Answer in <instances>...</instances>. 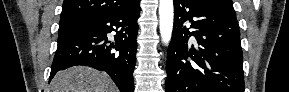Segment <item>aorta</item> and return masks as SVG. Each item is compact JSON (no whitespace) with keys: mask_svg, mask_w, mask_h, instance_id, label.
Masks as SVG:
<instances>
[{"mask_svg":"<svg viewBox=\"0 0 289 92\" xmlns=\"http://www.w3.org/2000/svg\"><path fill=\"white\" fill-rule=\"evenodd\" d=\"M173 21H174L173 0H160L159 29L162 41L165 45H168L171 40Z\"/></svg>","mask_w":289,"mask_h":92,"instance_id":"obj_1","label":"aorta"}]
</instances>
